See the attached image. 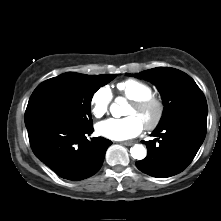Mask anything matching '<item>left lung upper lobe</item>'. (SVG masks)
<instances>
[{
    "label": "left lung upper lobe",
    "instance_id": "1",
    "mask_svg": "<svg viewBox=\"0 0 221 221\" xmlns=\"http://www.w3.org/2000/svg\"><path fill=\"white\" fill-rule=\"evenodd\" d=\"M135 77L151 81L162 95L164 111L158 126L168 123L181 113L207 109L203 92L190 76L180 70L157 67L140 72Z\"/></svg>",
    "mask_w": 221,
    "mask_h": 221
}]
</instances>
